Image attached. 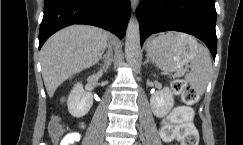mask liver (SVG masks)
Listing matches in <instances>:
<instances>
[{"mask_svg": "<svg viewBox=\"0 0 243 145\" xmlns=\"http://www.w3.org/2000/svg\"><path fill=\"white\" fill-rule=\"evenodd\" d=\"M109 33L103 29L73 25L50 37L41 49L44 84L49 97L76 73L95 65L107 46Z\"/></svg>", "mask_w": 243, "mask_h": 145, "instance_id": "liver-1", "label": "liver"}]
</instances>
